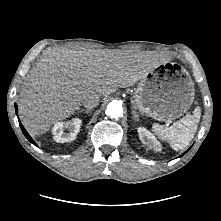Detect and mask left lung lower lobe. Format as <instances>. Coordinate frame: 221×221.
<instances>
[{"label":"left lung lower lobe","instance_id":"left-lung-lower-lobe-1","mask_svg":"<svg viewBox=\"0 0 221 221\" xmlns=\"http://www.w3.org/2000/svg\"><path fill=\"white\" fill-rule=\"evenodd\" d=\"M187 151H188V150H187ZM187 151H186V152H187ZM186 152H185V153H186ZM185 153H183L182 155H184ZM182 155H181V156H182Z\"/></svg>","mask_w":221,"mask_h":221}]
</instances>
